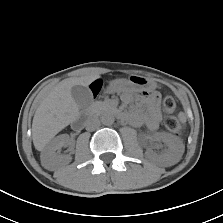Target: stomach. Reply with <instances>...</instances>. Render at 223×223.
Returning a JSON list of instances; mask_svg holds the SVG:
<instances>
[{"instance_id":"0dacf381","label":"stomach","mask_w":223,"mask_h":223,"mask_svg":"<svg viewBox=\"0 0 223 223\" xmlns=\"http://www.w3.org/2000/svg\"><path fill=\"white\" fill-rule=\"evenodd\" d=\"M154 89L155 83L152 80L138 75L112 81L107 88L110 93H133L141 90L152 91Z\"/></svg>"}]
</instances>
